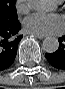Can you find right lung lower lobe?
Listing matches in <instances>:
<instances>
[{
    "instance_id": "98d812e1",
    "label": "right lung lower lobe",
    "mask_w": 65,
    "mask_h": 89,
    "mask_svg": "<svg viewBox=\"0 0 65 89\" xmlns=\"http://www.w3.org/2000/svg\"><path fill=\"white\" fill-rule=\"evenodd\" d=\"M20 29L19 21L0 23V71L9 68L15 60L18 43L23 37L18 33Z\"/></svg>"
}]
</instances>
